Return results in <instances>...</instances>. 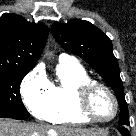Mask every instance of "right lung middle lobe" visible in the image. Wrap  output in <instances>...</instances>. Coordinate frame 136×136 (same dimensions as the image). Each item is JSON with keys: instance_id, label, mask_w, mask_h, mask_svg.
Returning <instances> with one entry per match:
<instances>
[{"instance_id": "1", "label": "right lung middle lobe", "mask_w": 136, "mask_h": 136, "mask_svg": "<svg viewBox=\"0 0 136 136\" xmlns=\"http://www.w3.org/2000/svg\"><path fill=\"white\" fill-rule=\"evenodd\" d=\"M30 71L0 70V118L27 119L19 88L24 76Z\"/></svg>"}]
</instances>
